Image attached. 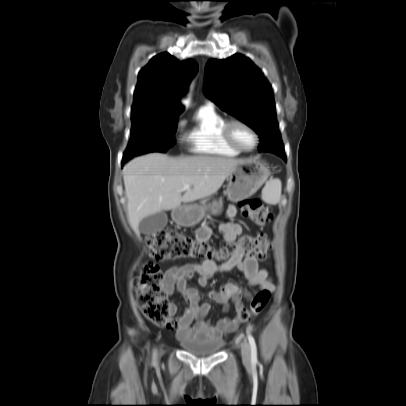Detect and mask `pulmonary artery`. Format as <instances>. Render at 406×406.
I'll return each mask as SVG.
<instances>
[{"instance_id": "e3ab8cb5", "label": "pulmonary artery", "mask_w": 406, "mask_h": 406, "mask_svg": "<svg viewBox=\"0 0 406 406\" xmlns=\"http://www.w3.org/2000/svg\"><path fill=\"white\" fill-rule=\"evenodd\" d=\"M207 105H211V103H207Z\"/></svg>"}]
</instances>
